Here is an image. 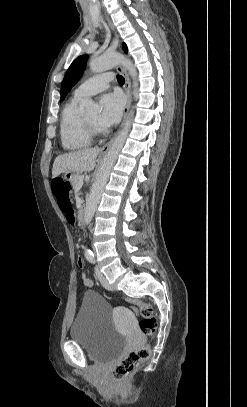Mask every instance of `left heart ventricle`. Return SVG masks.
<instances>
[{
    "instance_id": "1",
    "label": "left heart ventricle",
    "mask_w": 247,
    "mask_h": 407,
    "mask_svg": "<svg viewBox=\"0 0 247 407\" xmlns=\"http://www.w3.org/2000/svg\"><path fill=\"white\" fill-rule=\"evenodd\" d=\"M85 116L87 117V119L91 123H93V124H95L97 126H100V124H99V112L98 111L87 113V114H85Z\"/></svg>"
}]
</instances>
